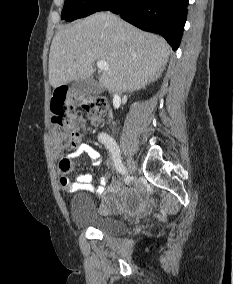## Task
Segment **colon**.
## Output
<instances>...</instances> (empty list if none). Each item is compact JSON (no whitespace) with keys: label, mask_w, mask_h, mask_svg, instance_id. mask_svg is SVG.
Masks as SVG:
<instances>
[{"label":"colon","mask_w":233,"mask_h":284,"mask_svg":"<svg viewBox=\"0 0 233 284\" xmlns=\"http://www.w3.org/2000/svg\"><path fill=\"white\" fill-rule=\"evenodd\" d=\"M76 107L84 110L93 123H97L107 108V103L99 97H78L74 101L68 102L62 96H56L51 100L52 122L63 128L66 144L75 148L81 140V132L75 121L73 114ZM63 173L71 168V161L63 159L60 163Z\"/></svg>","instance_id":"colon-1"}]
</instances>
